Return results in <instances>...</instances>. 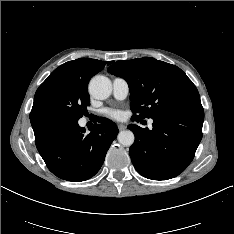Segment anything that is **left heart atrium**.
<instances>
[{
  "instance_id": "1",
  "label": "left heart atrium",
  "mask_w": 234,
  "mask_h": 234,
  "mask_svg": "<svg viewBox=\"0 0 234 234\" xmlns=\"http://www.w3.org/2000/svg\"><path fill=\"white\" fill-rule=\"evenodd\" d=\"M105 115L108 118H111L114 120H121L124 118V112L120 109H114V108L106 109Z\"/></svg>"
}]
</instances>
